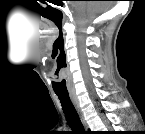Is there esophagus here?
Instances as JSON below:
<instances>
[{
  "label": "esophagus",
  "instance_id": "1",
  "mask_svg": "<svg viewBox=\"0 0 145 134\" xmlns=\"http://www.w3.org/2000/svg\"><path fill=\"white\" fill-rule=\"evenodd\" d=\"M71 101H72L75 109L77 110L82 123L85 125V120H84V117H83V114H82V111H81V108H80L79 101H78L77 97L72 95L71 96Z\"/></svg>",
  "mask_w": 145,
  "mask_h": 134
}]
</instances>
